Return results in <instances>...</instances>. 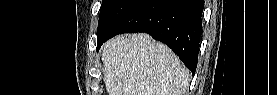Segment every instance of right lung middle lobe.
Here are the masks:
<instances>
[{"label": "right lung middle lobe", "mask_w": 277, "mask_h": 95, "mask_svg": "<svg viewBox=\"0 0 277 95\" xmlns=\"http://www.w3.org/2000/svg\"><path fill=\"white\" fill-rule=\"evenodd\" d=\"M144 0H103L98 23L97 49L111 31Z\"/></svg>", "instance_id": "1"}]
</instances>
